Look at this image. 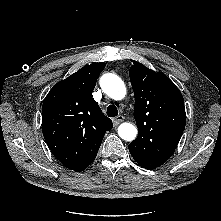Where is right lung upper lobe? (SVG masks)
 <instances>
[{
	"instance_id": "1",
	"label": "right lung upper lobe",
	"mask_w": 221,
	"mask_h": 221,
	"mask_svg": "<svg viewBox=\"0 0 221 221\" xmlns=\"http://www.w3.org/2000/svg\"><path fill=\"white\" fill-rule=\"evenodd\" d=\"M105 63L84 66L58 82L42 106V131L53 155L67 168L76 170L97 154L112 121L92 98Z\"/></svg>"
}]
</instances>
